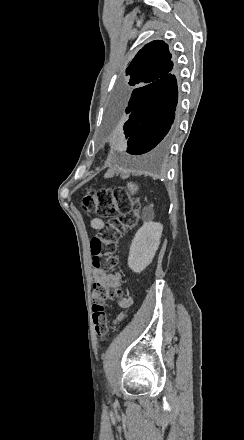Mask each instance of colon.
Segmentation results:
<instances>
[{"label":"colon","instance_id":"colon-1","mask_svg":"<svg viewBox=\"0 0 244 440\" xmlns=\"http://www.w3.org/2000/svg\"><path fill=\"white\" fill-rule=\"evenodd\" d=\"M82 208L86 214L95 213L105 220V223L99 224L98 233L90 242L89 252L95 266L103 270H116L119 267V239L125 230L137 223L138 208L128 205L118 190L110 189L87 191ZM120 295V290H112L104 285L93 288L92 322L100 342L104 341L108 332L105 303L113 296Z\"/></svg>","mask_w":244,"mask_h":440}]
</instances>
